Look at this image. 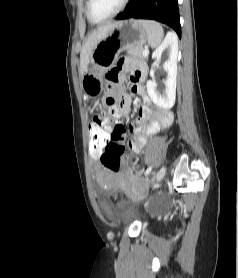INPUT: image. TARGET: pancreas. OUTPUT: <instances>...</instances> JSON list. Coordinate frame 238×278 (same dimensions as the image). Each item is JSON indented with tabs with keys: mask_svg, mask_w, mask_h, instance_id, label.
<instances>
[{
	"mask_svg": "<svg viewBox=\"0 0 238 278\" xmlns=\"http://www.w3.org/2000/svg\"><path fill=\"white\" fill-rule=\"evenodd\" d=\"M127 54L130 56H134L140 59H145L147 56L143 55V47L142 46H128L126 48Z\"/></svg>",
	"mask_w": 238,
	"mask_h": 278,
	"instance_id": "pancreas-1",
	"label": "pancreas"
}]
</instances>
